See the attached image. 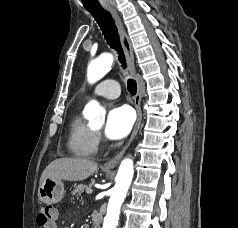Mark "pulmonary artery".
<instances>
[{
	"label": "pulmonary artery",
	"instance_id": "e3ab8cb5",
	"mask_svg": "<svg viewBox=\"0 0 238 228\" xmlns=\"http://www.w3.org/2000/svg\"><path fill=\"white\" fill-rule=\"evenodd\" d=\"M90 95L115 99L120 95V85L115 79H107L96 85L87 97Z\"/></svg>",
	"mask_w": 238,
	"mask_h": 228
}]
</instances>
